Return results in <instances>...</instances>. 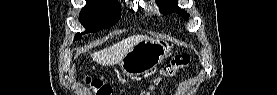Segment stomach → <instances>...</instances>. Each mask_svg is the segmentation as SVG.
Returning a JSON list of instances; mask_svg holds the SVG:
<instances>
[{"label":"stomach","mask_w":277,"mask_h":95,"mask_svg":"<svg viewBox=\"0 0 277 95\" xmlns=\"http://www.w3.org/2000/svg\"><path fill=\"white\" fill-rule=\"evenodd\" d=\"M171 46L164 40L146 38L136 44L119 62L127 76H141L156 68L170 52Z\"/></svg>","instance_id":"obj_1"}]
</instances>
